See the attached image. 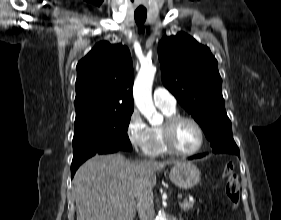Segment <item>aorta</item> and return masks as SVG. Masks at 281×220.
<instances>
[{"label": "aorta", "mask_w": 281, "mask_h": 220, "mask_svg": "<svg viewBox=\"0 0 281 220\" xmlns=\"http://www.w3.org/2000/svg\"><path fill=\"white\" fill-rule=\"evenodd\" d=\"M155 73V66H142L133 86L135 104L141 114L147 118L152 125H157L163 120L162 115L157 112L152 100V85ZM156 220H167L165 213L159 211Z\"/></svg>", "instance_id": "obj_1"}]
</instances>
